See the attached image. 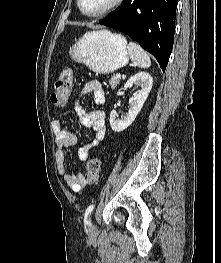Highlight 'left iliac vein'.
Here are the masks:
<instances>
[{
	"instance_id": "1",
	"label": "left iliac vein",
	"mask_w": 221,
	"mask_h": 263,
	"mask_svg": "<svg viewBox=\"0 0 221 263\" xmlns=\"http://www.w3.org/2000/svg\"><path fill=\"white\" fill-rule=\"evenodd\" d=\"M89 221H90L89 231H90V232H95L96 228H95V225H94L92 219L90 218Z\"/></svg>"
}]
</instances>
